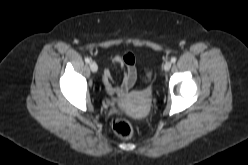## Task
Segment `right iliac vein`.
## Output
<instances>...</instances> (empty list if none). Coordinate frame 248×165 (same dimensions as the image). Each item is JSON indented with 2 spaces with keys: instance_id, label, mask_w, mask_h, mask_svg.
<instances>
[{
  "instance_id": "1",
  "label": "right iliac vein",
  "mask_w": 248,
  "mask_h": 165,
  "mask_svg": "<svg viewBox=\"0 0 248 165\" xmlns=\"http://www.w3.org/2000/svg\"><path fill=\"white\" fill-rule=\"evenodd\" d=\"M89 66H90V69H91L92 72H94V73L97 72L98 66L94 61H91Z\"/></svg>"
}]
</instances>
